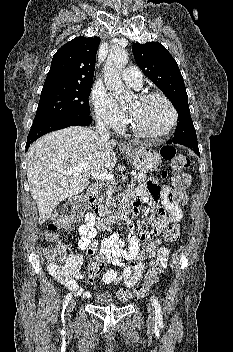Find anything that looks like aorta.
<instances>
[{
  "instance_id": "762f6f07",
  "label": "aorta",
  "mask_w": 233,
  "mask_h": 352,
  "mask_svg": "<svg viewBox=\"0 0 233 352\" xmlns=\"http://www.w3.org/2000/svg\"><path fill=\"white\" fill-rule=\"evenodd\" d=\"M128 62V53L123 48L112 50L104 66V81L106 87L121 104L127 103L132 98V93L124 87L121 72ZM115 208L117 206L115 205ZM118 211L115 209L114 217L117 219Z\"/></svg>"
}]
</instances>
